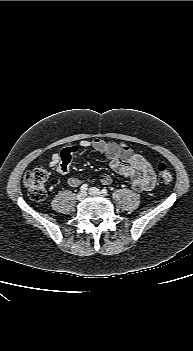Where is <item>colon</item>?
<instances>
[{
    "label": "colon",
    "instance_id": "colon-1",
    "mask_svg": "<svg viewBox=\"0 0 193 351\" xmlns=\"http://www.w3.org/2000/svg\"><path fill=\"white\" fill-rule=\"evenodd\" d=\"M157 174L159 180L164 185H170L173 182V173L164 163L157 165ZM47 172L44 167L37 166L28 172L24 177V186L32 199L41 201L46 197Z\"/></svg>",
    "mask_w": 193,
    "mask_h": 351
}]
</instances>
